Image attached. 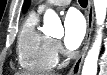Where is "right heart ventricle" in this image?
I'll return each instance as SVG.
<instances>
[{"mask_svg": "<svg viewBox=\"0 0 107 75\" xmlns=\"http://www.w3.org/2000/svg\"><path fill=\"white\" fill-rule=\"evenodd\" d=\"M38 14L31 13L24 21L18 38V61L31 72H48L57 64L53 40L38 29Z\"/></svg>", "mask_w": 107, "mask_h": 75, "instance_id": "right-heart-ventricle-1", "label": "right heart ventricle"}]
</instances>
